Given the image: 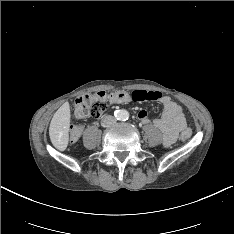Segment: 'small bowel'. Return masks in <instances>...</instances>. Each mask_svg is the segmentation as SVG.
Returning a JSON list of instances; mask_svg holds the SVG:
<instances>
[{
    "label": "small bowel",
    "mask_w": 234,
    "mask_h": 234,
    "mask_svg": "<svg viewBox=\"0 0 234 234\" xmlns=\"http://www.w3.org/2000/svg\"><path fill=\"white\" fill-rule=\"evenodd\" d=\"M153 92V91H146ZM132 101L130 97L126 98L122 102ZM158 101L163 107V112L160 118L152 121L153 125L163 133V144L165 146L172 145L179 133L186 129L187 123L180 105L171 99L169 96L160 94ZM138 117L144 124H149L150 119L148 118L147 111L141 109L138 112Z\"/></svg>",
    "instance_id": "small-bowel-1"
}]
</instances>
